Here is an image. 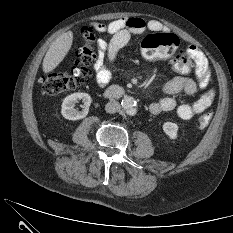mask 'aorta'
Returning a JSON list of instances; mask_svg holds the SVG:
<instances>
[{"instance_id":"obj_1","label":"aorta","mask_w":233,"mask_h":233,"mask_svg":"<svg viewBox=\"0 0 233 233\" xmlns=\"http://www.w3.org/2000/svg\"><path fill=\"white\" fill-rule=\"evenodd\" d=\"M121 105H122V108L125 110V112L128 115L133 116V115L136 114V112H137V102L133 97L125 96L122 99Z\"/></svg>"}]
</instances>
